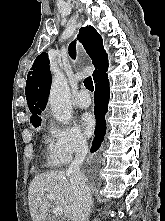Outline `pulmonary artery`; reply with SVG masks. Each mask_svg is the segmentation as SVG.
Segmentation results:
<instances>
[{
    "instance_id": "1",
    "label": "pulmonary artery",
    "mask_w": 165,
    "mask_h": 221,
    "mask_svg": "<svg viewBox=\"0 0 165 221\" xmlns=\"http://www.w3.org/2000/svg\"><path fill=\"white\" fill-rule=\"evenodd\" d=\"M75 104L79 108H88L91 104V98L88 92L84 89L80 90L75 96Z\"/></svg>"
}]
</instances>
